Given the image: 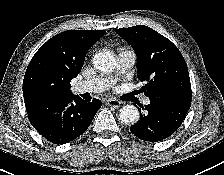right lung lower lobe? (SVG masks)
<instances>
[{"instance_id":"right-lung-lower-lobe-1","label":"right lung lower lobe","mask_w":224,"mask_h":175,"mask_svg":"<svg viewBox=\"0 0 224 175\" xmlns=\"http://www.w3.org/2000/svg\"><path fill=\"white\" fill-rule=\"evenodd\" d=\"M32 126L54 144L68 143L83 134L101 107V101L86 102L79 96L53 95L25 101Z\"/></svg>"}]
</instances>
